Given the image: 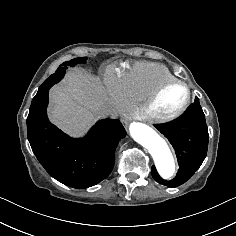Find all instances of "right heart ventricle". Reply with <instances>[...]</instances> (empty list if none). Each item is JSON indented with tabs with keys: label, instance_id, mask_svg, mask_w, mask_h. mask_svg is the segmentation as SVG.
<instances>
[{
	"label": "right heart ventricle",
	"instance_id": "e07e8e85",
	"mask_svg": "<svg viewBox=\"0 0 236 236\" xmlns=\"http://www.w3.org/2000/svg\"><path fill=\"white\" fill-rule=\"evenodd\" d=\"M176 77L164 65L151 62L134 64L122 81L127 103H142L162 82Z\"/></svg>",
	"mask_w": 236,
	"mask_h": 236
}]
</instances>
